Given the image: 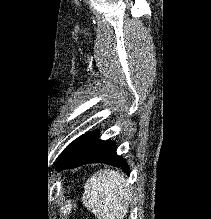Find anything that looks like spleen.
Listing matches in <instances>:
<instances>
[{"instance_id":"spleen-1","label":"spleen","mask_w":211,"mask_h":219,"mask_svg":"<svg viewBox=\"0 0 211 219\" xmlns=\"http://www.w3.org/2000/svg\"><path fill=\"white\" fill-rule=\"evenodd\" d=\"M83 204L98 219H123L131 195L124 176L114 170H100L84 186Z\"/></svg>"}]
</instances>
